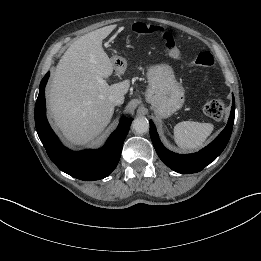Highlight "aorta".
<instances>
[{"label":"aorta","instance_id":"obj_1","mask_svg":"<svg viewBox=\"0 0 261 261\" xmlns=\"http://www.w3.org/2000/svg\"><path fill=\"white\" fill-rule=\"evenodd\" d=\"M132 128L137 134H144L149 131V122L146 118H136L132 123Z\"/></svg>","mask_w":261,"mask_h":261}]
</instances>
